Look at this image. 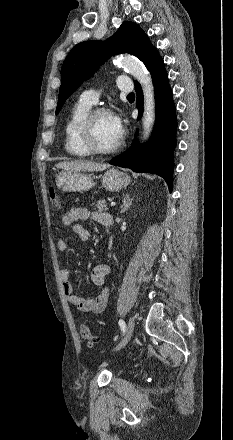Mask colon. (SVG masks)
Segmentation results:
<instances>
[{
  "label": "colon",
  "mask_w": 233,
  "mask_h": 440,
  "mask_svg": "<svg viewBox=\"0 0 233 440\" xmlns=\"http://www.w3.org/2000/svg\"><path fill=\"white\" fill-rule=\"evenodd\" d=\"M49 196H50V201H51L52 206L56 210L60 209L61 201H60L58 194L56 193V191L53 188L49 189ZM80 334H81L82 338L87 342L88 346L92 347L97 344L96 338L91 334L90 329L87 325L82 324L80 326Z\"/></svg>",
  "instance_id": "colon-1"
}]
</instances>
